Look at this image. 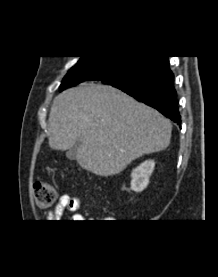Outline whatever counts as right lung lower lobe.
I'll list each match as a JSON object with an SVG mask.
<instances>
[{
    "label": "right lung lower lobe",
    "instance_id": "1",
    "mask_svg": "<svg viewBox=\"0 0 218 277\" xmlns=\"http://www.w3.org/2000/svg\"><path fill=\"white\" fill-rule=\"evenodd\" d=\"M100 81V75L87 73L83 81ZM174 76L166 56H157L154 62L132 81L115 86L135 99L155 108L180 125V114L173 85ZM82 81V82H83Z\"/></svg>",
    "mask_w": 218,
    "mask_h": 277
}]
</instances>
